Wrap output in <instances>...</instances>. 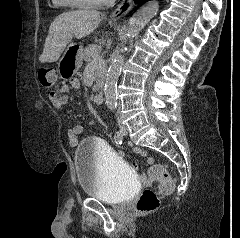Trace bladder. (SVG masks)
I'll return each mask as SVG.
<instances>
[{
  "label": "bladder",
  "instance_id": "31cf9c89",
  "mask_svg": "<svg viewBox=\"0 0 240 238\" xmlns=\"http://www.w3.org/2000/svg\"><path fill=\"white\" fill-rule=\"evenodd\" d=\"M74 166L80 188L102 202L124 203L137 190L132 168L102 140L89 138L82 141L74 153Z\"/></svg>",
  "mask_w": 240,
  "mask_h": 238
}]
</instances>
